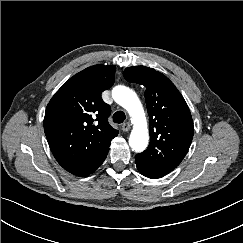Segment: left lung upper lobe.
<instances>
[{
  "label": "left lung upper lobe",
  "instance_id": "5c2ea615",
  "mask_svg": "<svg viewBox=\"0 0 243 243\" xmlns=\"http://www.w3.org/2000/svg\"><path fill=\"white\" fill-rule=\"evenodd\" d=\"M123 75L128 82L146 87L150 144L136 155V165L166 175L181 163L192 142L194 126L187 103L174 84L153 68L133 66Z\"/></svg>",
  "mask_w": 243,
  "mask_h": 243
}]
</instances>
